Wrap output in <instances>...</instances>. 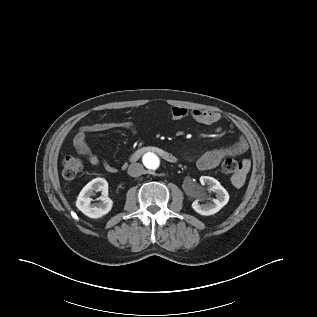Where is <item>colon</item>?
<instances>
[{"label": "colon", "mask_w": 317, "mask_h": 317, "mask_svg": "<svg viewBox=\"0 0 317 317\" xmlns=\"http://www.w3.org/2000/svg\"><path fill=\"white\" fill-rule=\"evenodd\" d=\"M63 176L66 179L75 178L83 169L82 161L74 156H66L62 162ZM221 169L225 174L236 175L242 169V164L232 157H226L222 160Z\"/></svg>", "instance_id": "5ec220e1"}]
</instances>
